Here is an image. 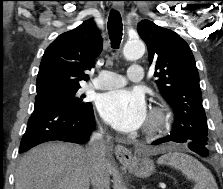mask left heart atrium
I'll return each instance as SVG.
<instances>
[{
	"mask_svg": "<svg viewBox=\"0 0 223 189\" xmlns=\"http://www.w3.org/2000/svg\"><path fill=\"white\" fill-rule=\"evenodd\" d=\"M98 110L102 118L116 130L132 132L147 120L144 95L136 90H114L100 96Z\"/></svg>",
	"mask_w": 223,
	"mask_h": 189,
	"instance_id": "left-heart-atrium-1",
	"label": "left heart atrium"
}]
</instances>
